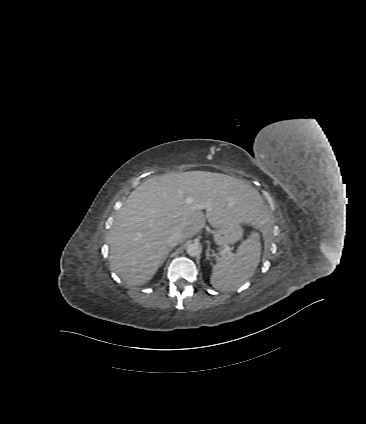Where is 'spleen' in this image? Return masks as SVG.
I'll list each match as a JSON object with an SVG mask.
<instances>
[{
    "mask_svg": "<svg viewBox=\"0 0 366 424\" xmlns=\"http://www.w3.org/2000/svg\"><path fill=\"white\" fill-rule=\"evenodd\" d=\"M260 255L259 233L253 232L241 243L235 254H222L217 258L210 277L212 286L221 291L239 288L254 275Z\"/></svg>",
    "mask_w": 366,
    "mask_h": 424,
    "instance_id": "spleen-1",
    "label": "spleen"
}]
</instances>
